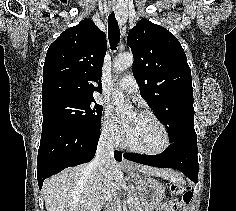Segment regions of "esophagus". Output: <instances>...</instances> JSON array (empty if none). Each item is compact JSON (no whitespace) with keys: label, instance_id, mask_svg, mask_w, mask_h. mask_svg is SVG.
<instances>
[{"label":"esophagus","instance_id":"1","mask_svg":"<svg viewBox=\"0 0 236 211\" xmlns=\"http://www.w3.org/2000/svg\"><path fill=\"white\" fill-rule=\"evenodd\" d=\"M121 165H122V167H126V168L133 167V164L131 162L127 161L125 158L122 159Z\"/></svg>","mask_w":236,"mask_h":211}]
</instances>
